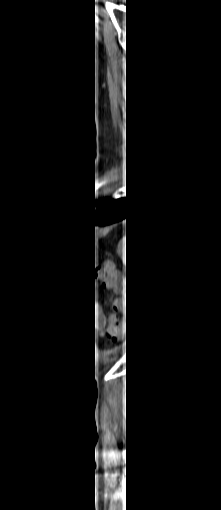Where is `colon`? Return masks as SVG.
Wrapping results in <instances>:
<instances>
[{"label": "colon", "instance_id": "5ec220e1", "mask_svg": "<svg viewBox=\"0 0 221 510\" xmlns=\"http://www.w3.org/2000/svg\"><path fill=\"white\" fill-rule=\"evenodd\" d=\"M92 274L93 283L98 286L100 290L110 288L117 289L121 284V278L119 274L111 270V268L103 262L98 263L93 267ZM99 303L101 302L99 301ZM128 332L129 329L123 322L122 318L119 316L115 317L109 329V335L111 339L116 343H122L126 340Z\"/></svg>", "mask_w": 221, "mask_h": 510}]
</instances>
